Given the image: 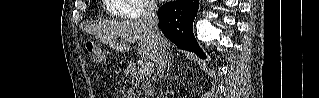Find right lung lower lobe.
<instances>
[{
	"label": "right lung lower lobe",
	"instance_id": "98d812e1",
	"mask_svg": "<svg viewBox=\"0 0 319 98\" xmlns=\"http://www.w3.org/2000/svg\"><path fill=\"white\" fill-rule=\"evenodd\" d=\"M198 7L199 0H176L164 4L158 9L159 27L178 48L206 58L192 31Z\"/></svg>",
	"mask_w": 319,
	"mask_h": 98
}]
</instances>
